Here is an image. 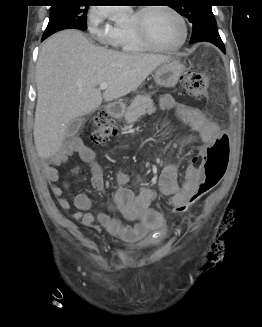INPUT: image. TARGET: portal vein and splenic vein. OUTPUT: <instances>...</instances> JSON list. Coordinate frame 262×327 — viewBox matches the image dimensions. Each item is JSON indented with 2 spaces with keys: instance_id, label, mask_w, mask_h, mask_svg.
I'll return each instance as SVG.
<instances>
[{
  "instance_id": "portal-vein-and-splenic-vein-1",
  "label": "portal vein and splenic vein",
  "mask_w": 262,
  "mask_h": 327,
  "mask_svg": "<svg viewBox=\"0 0 262 327\" xmlns=\"http://www.w3.org/2000/svg\"><path fill=\"white\" fill-rule=\"evenodd\" d=\"M108 86H109V84L106 83V82H104V83H101V84L99 85V88H100L101 90H105V89L108 88Z\"/></svg>"
}]
</instances>
